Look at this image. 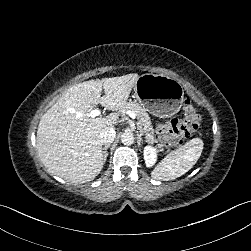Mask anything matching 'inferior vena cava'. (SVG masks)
I'll list each match as a JSON object with an SVG mask.
<instances>
[{
    "instance_id": "obj_1",
    "label": "inferior vena cava",
    "mask_w": 251,
    "mask_h": 251,
    "mask_svg": "<svg viewBox=\"0 0 251 251\" xmlns=\"http://www.w3.org/2000/svg\"><path fill=\"white\" fill-rule=\"evenodd\" d=\"M116 131L114 127L103 128L99 134V139L101 143H110L115 139Z\"/></svg>"
}]
</instances>
